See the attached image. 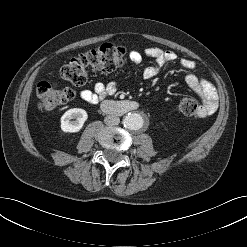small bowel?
I'll use <instances>...</instances> for the list:
<instances>
[{
    "label": "small bowel",
    "instance_id": "small-bowel-1",
    "mask_svg": "<svg viewBox=\"0 0 247 247\" xmlns=\"http://www.w3.org/2000/svg\"><path fill=\"white\" fill-rule=\"evenodd\" d=\"M145 55L154 58V62L140 68L142 61L141 54L137 51L130 52V60L132 61L135 69H138L140 76L143 79H151L155 77L163 67L173 63L177 60V55L173 51L163 50L160 48H148L145 50ZM180 67L185 70L192 71L195 69L196 64L189 59H181L179 61ZM185 81L188 87L194 91L202 100V104L197 111V117L204 118L213 114L217 109L218 94L213 84L193 72H189ZM118 84L115 82L103 83L98 82L93 89H84L80 92V98L89 103H98L107 96H112L118 91Z\"/></svg>",
    "mask_w": 247,
    "mask_h": 247
}]
</instances>
